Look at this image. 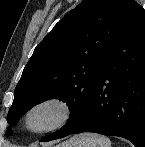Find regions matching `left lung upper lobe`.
I'll return each instance as SVG.
<instances>
[{
    "label": "left lung upper lobe",
    "instance_id": "5c2ea615",
    "mask_svg": "<svg viewBox=\"0 0 145 147\" xmlns=\"http://www.w3.org/2000/svg\"><path fill=\"white\" fill-rule=\"evenodd\" d=\"M131 0H83L66 14L37 45L18 82L7 121L36 104L59 98L70 109L68 122L43 139L80 123L106 59L124 23ZM11 135V128L6 131Z\"/></svg>",
    "mask_w": 145,
    "mask_h": 147
}]
</instances>
